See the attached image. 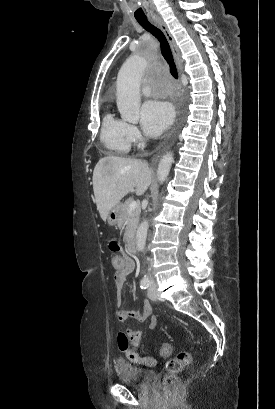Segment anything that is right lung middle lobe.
Wrapping results in <instances>:
<instances>
[{
  "instance_id": "dd1d6c3e",
  "label": "right lung middle lobe",
  "mask_w": 275,
  "mask_h": 409,
  "mask_svg": "<svg viewBox=\"0 0 275 409\" xmlns=\"http://www.w3.org/2000/svg\"><path fill=\"white\" fill-rule=\"evenodd\" d=\"M148 166L150 169H158L160 167V162L158 160H150Z\"/></svg>"
}]
</instances>
